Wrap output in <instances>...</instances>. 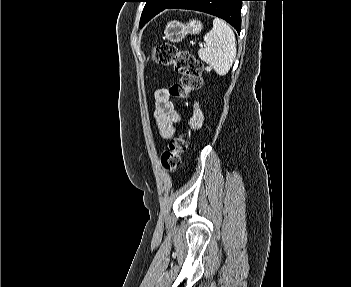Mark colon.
Wrapping results in <instances>:
<instances>
[{
  "label": "colon",
  "mask_w": 351,
  "mask_h": 287,
  "mask_svg": "<svg viewBox=\"0 0 351 287\" xmlns=\"http://www.w3.org/2000/svg\"><path fill=\"white\" fill-rule=\"evenodd\" d=\"M153 59L160 65L172 66L181 75L180 81L169 89V94L173 98H186L201 88L202 64L191 52L180 50L171 44H160L153 49ZM186 150V136L184 134L175 136L170 141L168 149L162 154L163 168L168 172H175L181 163V156Z\"/></svg>",
  "instance_id": "1"
}]
</instances>
